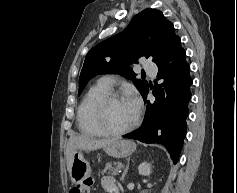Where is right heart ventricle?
<instances>
[{
	"label": "right heart ventricle",
	"mask_w": 237,
	"mask_h": 193,
	"mask_svg": "<svg viewBox=\"0 0 237 193\" xmlns=\"http://www.w3.org/2000/svg\"><path fill=\"white\" fill-rule=\"evenodd\" d=\"M110 88L102 85L100 82L92 86L84 95L77 110V125L81 133L99 137L104 134L95 126L92 118L93 108L96 102L104 94L108 93Z\"/></svg>",
	"instance_id": "right-heart-ventricle-1"
}]
</instances>
